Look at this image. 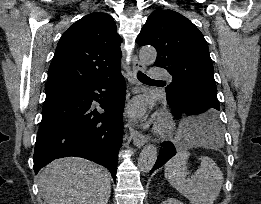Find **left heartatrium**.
I'll use <instances>...</instances> for the list:
<instances>
[{
    "label": "left heart atrium",
    "instance_id": "left-heart-atrium-1",
    "mask_svg": "<svg viewBox=\"0 0 261 204\" xmlns=\"http://www.w3.org/2000/svg\"><path fill=\"white\" fill-rule=\"evenodd\" d=\"M146 110L145 101L142 98H137L128 106V115L136 121H141L146 116Z\"/></svg>",
    "mask_w": 261,
    "mask_h": 204
}]
</instances>
